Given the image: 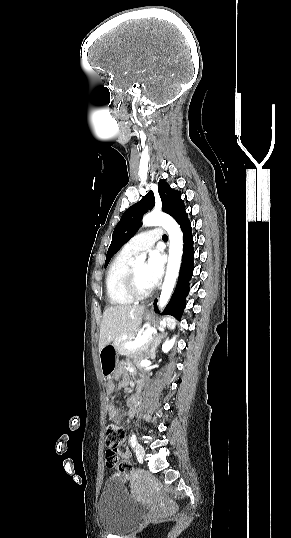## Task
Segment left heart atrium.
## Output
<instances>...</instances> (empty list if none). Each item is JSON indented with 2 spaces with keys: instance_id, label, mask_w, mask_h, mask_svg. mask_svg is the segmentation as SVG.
Returning <instances> with one entry per match:
<instances>
[{
  "instance_id": "left-heart-atrium-1",
  "label": "left heart atrium",
  "mask_w": 291,
  "mask_h": 538,
  "mask_svg": "<svg viewBox=\"0 0 291 538\" xmlns=\"http://www.w3.org/2000/svg\"><path fill=\"white\" fill-rule=\"evenodd\" d=\"M163 272L164 259L162 255L156 250L151 251L144 270L145 279L151 288L157 285Z\"/></svg>"
}]
</instances>
